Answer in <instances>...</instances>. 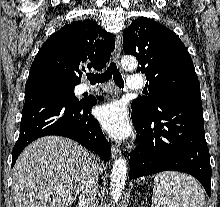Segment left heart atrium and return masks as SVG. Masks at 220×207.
<instances>
[{
    "mask_svg": "<svg viewBox=\"0 0 220 207\" xmlns=\"http://www.w3.org/2000/svg\"><path fill=\"white\" fill-rule=\"evenodd\" d=\"M97 119L102 128L115 139H125L131 133V125L123 104L113 102L98 108Z\"/></svg>",
    "mask_w": 220,
    "mask_h": 207,
    "instance_id": "left-heart-atrium-1",
    "label": "left heart atrium"
}]
</instances>
